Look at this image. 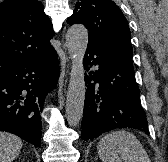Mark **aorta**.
<instances>
[{
    "label": "aorta",
    "instance_id": "aorta-1",
    "mask_svg": "<svg viewBox=\"0 0 168 162\" xmlns=\"http://www.w3.org/2000/svg\"><path fill=\"white\" fill-rule=\"evenodd\" d=\"M88 44V31L83 25L71 26L66 34V46L72 61L66 99V118L70 126H76L83 114L85 101V71L83 58Z\"/></svg>",
    "mask_w": 168,
    "mask_h": 162
}]
</instances>
